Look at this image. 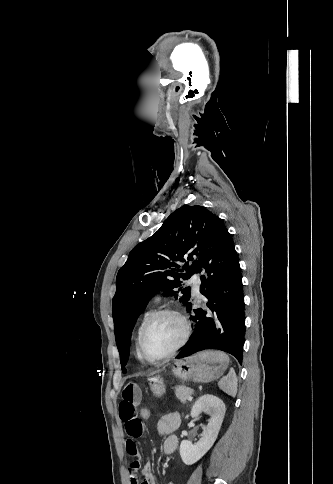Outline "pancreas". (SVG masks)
<instances>
[{"label":"pancreas","instance_id":"obj_1","mask_svg":"<svg viewBox=\"0 0 333 484\" xmlns=\"http://www.w3.org/2000/svg\"><path fill=\"white\" fill-rule=\"evenodd\" d=\"M176 397L181 402H186L191 395L194 394V390L192 388L186 387L184 385H177L174 387Z\"/></svg>","mask_w":333,"mask_h":484}]
</instances>
